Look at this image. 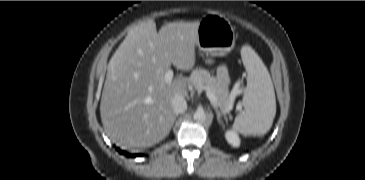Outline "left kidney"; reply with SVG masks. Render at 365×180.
<instances>
[{
  "label": "left kidney",
  "instance_id": "1",
  "mask_svg": "<svg viewBox=\"0 0 365 180\" xmlns=\"http://www.w3.org/2000/svg\"><path fill=\"white\" fill-rule=\"evenodd\" d=\"M226 140L229 144H231L234 147H238L240 145V139L238 135L233 131H227L225 133Z\"/></svg>",
  "mask_w": 365,
  "mask_h": 180
}]
</instances>
